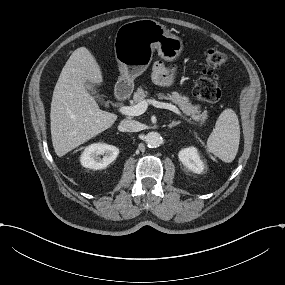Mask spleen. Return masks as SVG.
Instances as JSON below:
<instances>
[{"mask_svg": "<svg viewBox=\"0 0 285 285\" xmlns=\"http://www.w3.org/2000/svg\"><path fill=\"white\" fill-rule=\"evenodd\" d=\"M240 126L236 113L225 109L217 119L215 129L207 140L208 151L226 163L232 162L238 152Z\"/></svg>", "mask_w": 285, "mask_h": 285, "instance_id": "3e777b00", "label": "spleen"}]
</instances>
